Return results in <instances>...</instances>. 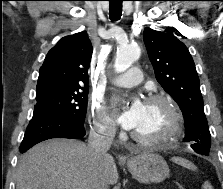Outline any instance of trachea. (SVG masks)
<instances>
[{"label": "trachea", "instance_id": "1", "mask_svg": "<svg viewBox=\"0 0 223 189\" xmlns=\"http://www.w3.org/2000/svg\"><path fill=\"white\" fill-rule=\"evenodd\" d=\"M109 15L112 21H117L122 15V1L123 0H109Z\"/></svg>", "mask_w": 223, "mask_h": 189}]
</instances>
